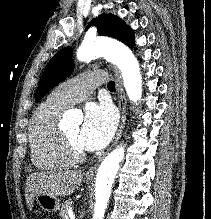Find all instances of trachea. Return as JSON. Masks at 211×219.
Returning a JSON list of instances; mask_svg holds the SVG:
<instances>
[{
    "instance_id": "3493384b",
    "label": "trachea",
    "mask_w": 211,
    "mask_h": 219,
    "mask_svg": "<svg viewBox=\"0 0 211 219\" xmlns=\"http://www.w3.org/2000/svg\"><path fill=\"white\" fill-rule=\"evenodd\" d=\"M108 89H109V90H114V89H115V83H114V81H110V82L108 83Z\"/></svg>"
}]
</instances>
